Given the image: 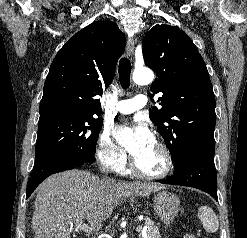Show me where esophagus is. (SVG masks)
<instances>
[{"mask_svg":"<svg viewBox=\"0 0 247 238\" xmlns=\"http://www.w3.org/2000/svg\"><path fill=\"white\" fill-rule=\"evenodd\" d=\"M134 49H135L134 41L132 39H128V41H127V53L131 58H133V56H134Z\"/></svg>","mask_w":247,"mask_h":238,"instance_id":"obj_1","label":"esophagus"}]
</instances>
